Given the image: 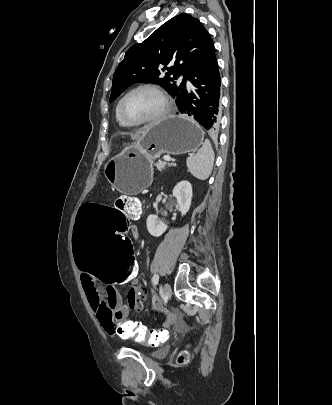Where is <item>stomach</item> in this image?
Wrapping results in <instances>:
<instances>
[{"label": "stomach", "instance_id": "0dacf381", "mask_svg": "<svg viewBox=\"0 0 332 405\" xmlns=\"http://www.w3.org/2000/svg\"><path fill=\"white\" fill-rule=\"evenodd\" d=\"M204 132L187 116H168L150 125L136 144L123 150L104 166V175L116 190L136 195L152 181V161L162 154H184L198 149Z\"/></svg>", "mask_w": 332, "mask_h": 405}]
</instances>
